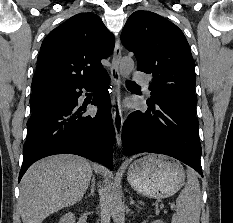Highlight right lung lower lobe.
<instances>
[{
	"label": "right lung lower lobe",
	"instance_id": "obj_1",
	"mask_svg": "<svg viewBox=\"0 0 233 223\" xmlns=\"http://www.w3.org/2000/svg\"><path fill=\"white\" fill-rule=\"evenodd\" d=\"M98 82L99 88L91 102L98 106V112L88 115L86 106H79L78 98L82 88L90 91ZM109 84L110 78L104 73L93 82L32 94L41 104L32 111L27 122L19 181L34 162L54 154H76L112 168L115 129L111 118Z\"/></svg>",
	"mask_w": 233,
	"mask_h": 223
}]
</instances>
